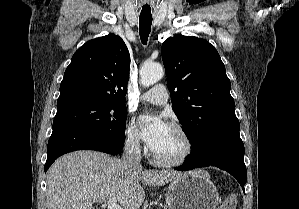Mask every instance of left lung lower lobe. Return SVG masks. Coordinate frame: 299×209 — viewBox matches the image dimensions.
Here are the masks:
<instances>
[{
    "label": "left lung lower lobe",
    "instance_id": "left-lung-lower-lobe-1",
    "mask_svg": "<svg viewBox=\"0 0 299 209\" xmlns=\"http://www.w3.org/2000/svg\"><path fill=\"white\" fill-rule=\"evenodd\" d=\"M238 119L226 121L210 129L206 138L192 148L186 162L176 170H192L216 166L229 172L244 189L247 173L244 163V145L239 135Z\"/></svg>",
    "mask_w": 299,
    "mask_h": 209
}]
</instances>
